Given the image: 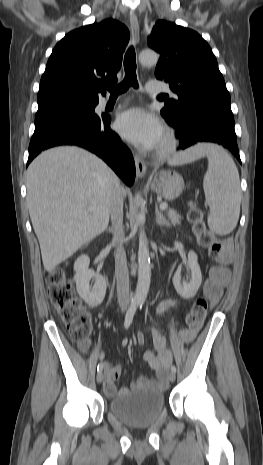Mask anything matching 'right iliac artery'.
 Returning <instances> with one entry per match:
<instances>
[{"label": "right iliac artery", "mask_w": 263, "mask_h": 465, "mask_svg": "<svg viewBox=\"0 0 263 465\" xmlns=\"http://www.w3.org/2000/svg\"><path fill=\"white\" fill-rule=\"evenodd\" d=\"M137 306H138L137 302H132L130 307L128 308L126 316H125V321H124L125 328H128L130 324L132 323ZM103 366H104L103 363L98 364L97 372H101L103 370Z\"/></svg>", "instance_id": "obj_1"}]
</instances>
